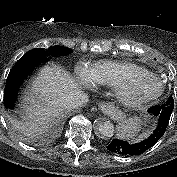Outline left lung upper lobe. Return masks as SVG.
<instances>
[{"label": "left lung upper lobe", "mask_w": 177, "mask_h": 177, "mask_svg": "<svg viewBox=\"0 0 177 177\" xmlns=\"http://www.w3.org/2000/svg\"><path fill=\"white\" fill-rule=\"evenodd\" d=\"M166 105H171V107H174V99L172 98V96H170L168 98V100L165 102Z\"/></svg>", "instance_id": "left-lung-upper-lobe-1"}]
</instances>
